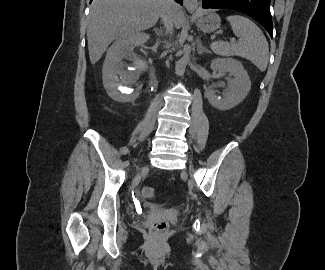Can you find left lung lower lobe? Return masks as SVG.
Wrapping results in <instances>:
<instances>
[{
	"label": "left lung lower lobe",
	"instance_id": "left-lung-lower-lobe-1",
	"mask_svg": "<svg viewBox=\"0 0 325 270\" xmlns=\"http://www.w3.org/2000/svg\"><path fill=\"white\" fill-rule=\"evenodd\" d=\"M202 7L240 11L258 21L272 37L270 0H203Z\"/></svg>",
	"mask_w": 325,
	"mask_h": 270
}]
</instances>
